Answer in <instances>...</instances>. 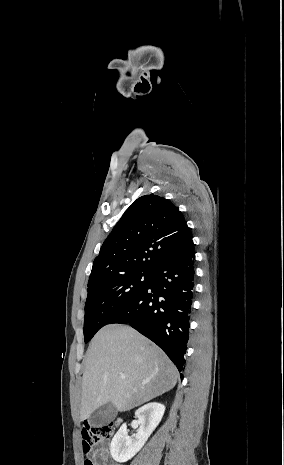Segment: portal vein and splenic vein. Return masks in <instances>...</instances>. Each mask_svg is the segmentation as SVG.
Wrapping results in <instances>:
<instances>
[{"label":"portal vein and splenic vein","mask_w":284,"mask_h":465,"mask_svg":"<svg viewBox=\"0 0 284 465\" xmlns=\"http://www.w3.org/2000/svg\"><path fill=\"white\" fill-rule=\"evenodd\" d=\"M120 379H126V375H120Z\"/></svg>","instance_id":"obj_1"}]
</instances>
